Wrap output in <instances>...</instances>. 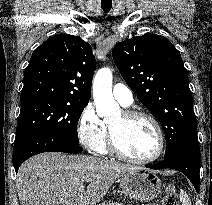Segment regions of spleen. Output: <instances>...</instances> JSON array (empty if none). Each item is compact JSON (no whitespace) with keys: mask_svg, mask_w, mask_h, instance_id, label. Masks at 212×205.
<instances>
[{"mask_svg":"<svg viewBox=\"0 0 212 205\" xmlns=\"http://www.w3.org/2000/svg\"><path fill=\"white\" fill-rule=\"evenodd\" d=\"M180 200L182 202V205H192L188 194L184 190L180 191Z\"/></svg>","mask_w":212,"mask_h":205,"instance_id":"obj_1","label":"spleen"}]
</instances>
